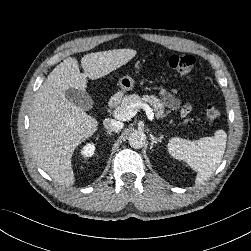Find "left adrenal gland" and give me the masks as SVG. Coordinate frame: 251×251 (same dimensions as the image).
I'll list each match as a JSON object with an SVG mask.
<instances>
[{"instance_id": "obj_1", "label": "left adrenal gland", "mask_w": 251, "mask_h": 251, "mask_svg": "<svg viewBox=\"0 0 251 251\" xmlns=\"http://www.w3.org/2000/svg\"><path fill=\"white\" fill-rule=\"evenodd\" d=\"M150 138H151L150 148H152L154 144H157L158 142H161L162 135L159 138H156L153 134H150Z\"/></svg>"}]
</instances>
